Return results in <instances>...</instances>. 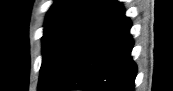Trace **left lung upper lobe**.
<instances>
[{
	"label": "left lung upper lobe",
	"instance_id": "5c2ea615",
	"mask_svg": "<svg viewBox=\"0 0 173 91\" xmlns=\"http://www.w3.org/2000/svg\"><path fill=\"white\" fill-rule=\"evenodd\" d=\"M116 0H56L47 13L38 91H51L71 56Z\"/></svg>",
	"mask_w": 173,
	"mask_h": 91
}]
</instances>
